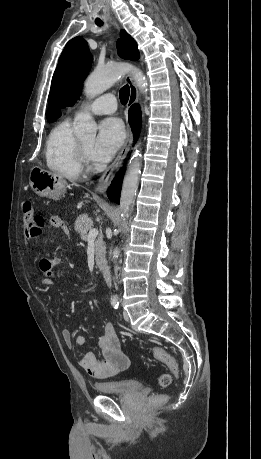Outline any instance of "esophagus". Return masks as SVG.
Returning <instances> with one entry per match:
<instances>
[{"instance_id":"obj_1","label":"esophagus","mask_w":261,"mask_h":459,"mask_svg":"<svg viewBox=\"0 0 261 459\" xmlns=\"http://www.w3.org/2000/svg\"><path fill=\"white\" fill-rule=\"evenodd\" d=\"M112 24L114 25L116 29H119V26L115 21H112ZM125 82L126 84H128L129 89H130V95H129V100H128V108H130L133 104H135L138 101L139 93H138L137 86L135 85L131 74H128L125 77ZM132 141H133V136H132L131 129L128 125L126 140L120 152L118 153L117 157L115 158V160L104 171V173L100 177L98 184L95 188V191L97 193L103 194L107 190V188L110 186L114 176L120 169L125 157L127 156V153L130 150Z\"/></svg>"}]
</instances>
